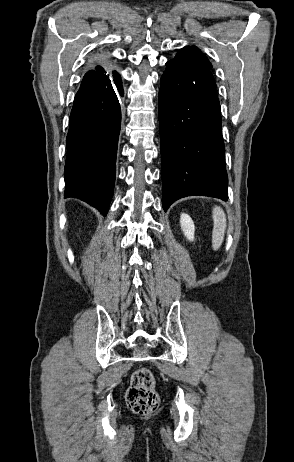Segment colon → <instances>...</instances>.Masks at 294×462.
<instances>
[{
	"label": "colon",
	"mask_w": 294,
	"mask_h": 462,
	"mask_svg": "<svg viewBox=\"0 0 294 462\" xmlns=\"http://www.w3.org/2000/svg\"><path fill=\"white\" fill-rule=\"evenodd\" d=\"M126 400L130 409L137 414L148 415L158 408L155 378L148 368L140 367L133 373Z\"/></svg>",
	"instance_id": "colon-1"
}]
</instances>
